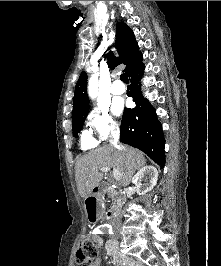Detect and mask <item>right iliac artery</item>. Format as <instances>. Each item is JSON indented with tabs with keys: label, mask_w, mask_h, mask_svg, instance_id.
I'll return each mask as SVG.
<instances>
[{
	"label": "right iliac artery",
	"mask_w": 221,
	"mask_h": 266,
	"mask_svg": "<svg viewBox=\"0 0 221 266\" xmlns=\"http://www.w3.org/2000/svg\"><path fill=\"white\" fill-rule=\"evenodd\" d=\"M94 234H101L100 230H94Z\"/></svg>",
	"instance_id": "82829eb1"
}]
</instances>
